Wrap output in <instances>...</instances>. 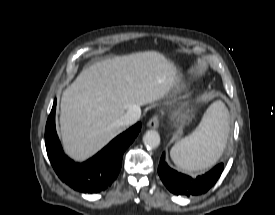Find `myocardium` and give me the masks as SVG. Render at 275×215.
<instances>
[{
    "mask_svg": "<svg viewBox=\"0 0 275 215\" xmlns=\"http://www.w3.org/2000/svg\"><path fill=\"white\" fill-rule=\"evenodd\" d=\"M179 118L183 122L186 121V120H188L190 118V112L184 111V112L180 113L179 114Z\"/></svg>",
    "mask_w": 275,
    "mask_h": 215,
    "instance_id": "f54148a6",
    "label": "myocardium"
}]
</instances>
